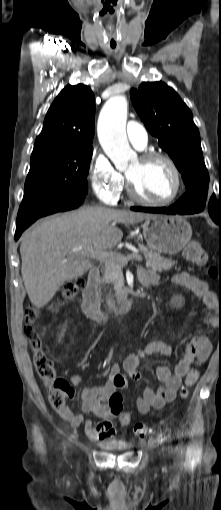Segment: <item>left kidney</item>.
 I'll return each mask as SVG.
<instances>
[{"label":"left kidney","mask_w":221,"mask_h":510,"mask_svg":"<svg viewBox=\"0 0 221 510\" xmlns=\"http://www.w3.org/2000/svg\"><path fill=\"white\" fill-rule=\"evenodd\" d=\"M184 299L181 296H175L171 299L170 304L176 308L182 306Z\"/></svg>","instance_id":"left-kidney-1"}]
</instances>
